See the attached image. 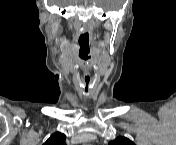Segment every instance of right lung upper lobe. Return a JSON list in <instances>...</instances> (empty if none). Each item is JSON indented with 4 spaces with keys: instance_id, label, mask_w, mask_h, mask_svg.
<instances>
[{
    "instance_id": "cb5924a9",
    "label": "right lung upper lobe",
    "mask_w": 176,
    "mask_h": 145,
    "mask_svg": "<svg viewBox=\"0 0 176 145\" xmlns=\"http://www.w3.org/2000/svg\"><path fill=\"white\" fill-rule=\"evenodd\" d=\"M44 145H65V135L63 133L56 132L50 136Z\"/></svg>"
}]
</instances>
